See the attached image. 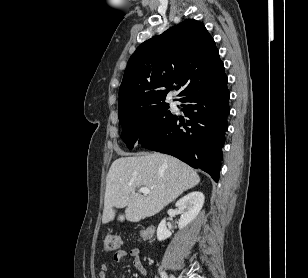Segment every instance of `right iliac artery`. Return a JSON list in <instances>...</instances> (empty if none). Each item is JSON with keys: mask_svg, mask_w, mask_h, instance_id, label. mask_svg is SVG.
I'll use <instances>...</instances> for the list:
<instances>
[{"mask_svg": "<svg viewBox=\"0 0 308 278\" xmlns=\"http://www.w3.org/2000/svg\"><path fill=\"white\" fill-rule=\"evenodd\" d=\"M160 275H161V278H168L167 274L164 271H161Z\"/></svg>", "mask_w": 308, "mask_h": 278, "instance_id": "82829eb1", "label": "right iliac artery"}]
</instances>
